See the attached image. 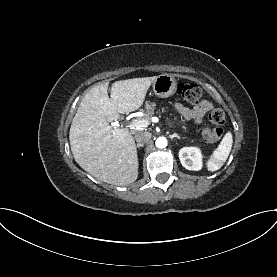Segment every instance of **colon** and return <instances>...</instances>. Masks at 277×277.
Listing matches in <instances>:
<instances>
[{
	"label": "colon",
	"instance_id": "1",
	"mask_svg": "<svg viewBox=\"0 0 277 277\" xmlns=\"http://www.w3.org/2000/svg\"><path fill=\"white\" fill-rule=\"evenodd\" d=\"M177 92L181 99L189 104L196 103L202 96L200 86L192 82L180 83ZM208 119L211 126L204 127L201 131V136L204 142L213 143L223 134L225 112L221 108H215L210 112Z\"/></svg>",
	"mask_w": 277,
	"mask_h": 277
}]
</instances>
